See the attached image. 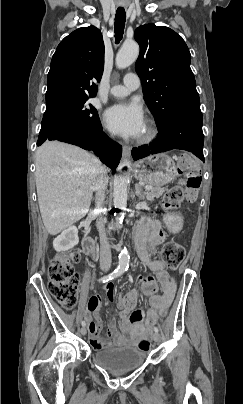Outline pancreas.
<instances>
[{
    "instance_id": "cf45deb5",
    "label": "pancreas",
    "mask_w": 243,
    "mask_h": 404,
    "mask_svg": "<svg viewBox=\"0 0 243 404\" xmlns=\"http://www.w3.org/2000/svg\"><path fill=\"white\" fill-rule=\"evenodd\" d=\"M166 190L167 188H160V186H155V188H152V190H148V192H146V198L147 200H153V198H160V196H163Z\"/></svg>"
}]
</instances>
